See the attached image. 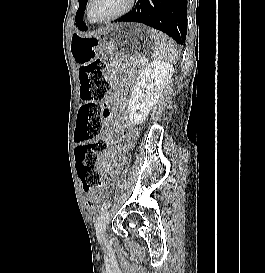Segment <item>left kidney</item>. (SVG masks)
<instances>
[{"label":"left kidney","instance_id":"obj_1","mask_svg":"<svg viewBox=\"0 0 265 273\" xmlns=\"http://www.w3.org/2000/svg\"><path fill=\"white\" fill-rule=\"evenodd\" d=\"M173 72V65L161 60L149 63L141 71L128 103L129 118L133 124H141L146 119Z\"/></svg>","mask_w":265,"mask_h":273}]
</instances>
